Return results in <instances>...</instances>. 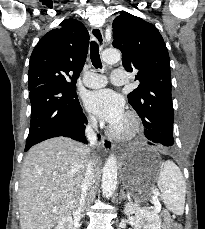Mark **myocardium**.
Listing matches in <instances>:
<instances>
[{
    "label": "myocardium",
    "instance_id": "obj_1",
    "mask_svg": "<svg viewBox=\"0 0 205 229\" xmlns=\"http://www.w3.org/2000/svg\"><path fill=\"white\" fill-rule=\"evenodd\" d=\"M125 126L117 128L115 126L109 129V134L117 139H129L139 131V119L134 112H127L124 116Z\"/></svg>",
    "mask_w": 205,
    "mask_h": 229
}]
</instances>
